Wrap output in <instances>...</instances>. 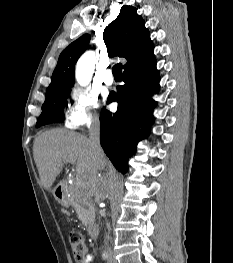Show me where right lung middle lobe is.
Instances as JSON below:
<instances>
[{
    "label": "right lung middle lobe",
    "mask_w": 233,
    "mask_h": 263,
    "mask_svg": "<svg viewBox=\"0 0 233 263\" xmlns=\"http://www.w3.org/2000/svg\"><path fill=\"white\" fill-rule=\"evenodd\" d=\"M70 91V89H62L46 96L36 127L52 122H61L65 119L63 110Z\"/></svg>",
    "instance_id": "dd1d6c3e"
}]
</instances>
